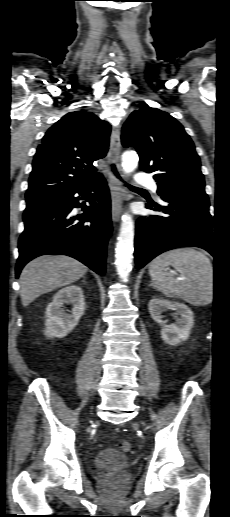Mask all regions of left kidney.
<instances>
[{"label":"left kidney","instance_id":"5707ae66","mask_svg":"<svg viewBox=\"0 0 230 517\" xmlns=\"http://www.w3.org/2000/svg\"><path fill=\"white\" fill-rule=\"evenodd\" d=\"M148 306L152 319L162 327L161 338L165 343L175 346L189 338L190 330L194 325V316L187 305L153 298ZM167 309L175 310L176 315H180V318H176L175 323L166 325L163 321L162 313Z\"/></svg>","mask_w":230,"mask_h":517}]
</instances>
